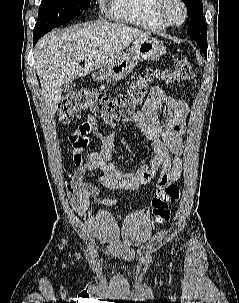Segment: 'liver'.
Returning <instances> with one entry per match:
<instances>
[{
  "mask_svg": "<svg viewBox=\"0 0 239 303\" xmlns=\"http://www.w3.org/2000/svg\"><path fill=\"white\" fill-rule=\"evenodd\" d=\"M148 33L122 23L95 22L53 30L38 41L36 72L51 114L57 111L62 85L113 63L134 40ZM85 61L84 67L80 61Z\"/></svg>",
  "mask_w": 239,
  "mask_h": 303,
  "instance_id": "6515ba94",
  "label": "liver"
}]
</instances>
